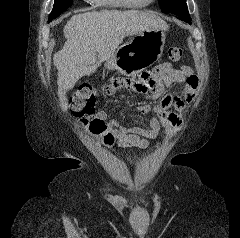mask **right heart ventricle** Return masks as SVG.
Here are the masks:
<instances>
[{"label":"right heart ventricle","mask_w":240,"mask_h":238,"mask_svg":"<svg viewBox=\"0 0 240 238\" xmlns=\"http://www.w3.org/2000/svg\"><path fill=\"white\" fill-rule=\"evenodd\" d=\"M99 6L106 7V8H123L125 7L120 0H93Z\"/></svg>","instance_id":"1"}]
</instances>
